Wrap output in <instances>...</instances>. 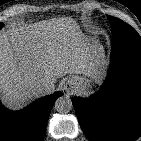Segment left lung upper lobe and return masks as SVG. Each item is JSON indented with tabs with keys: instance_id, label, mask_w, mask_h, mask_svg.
<instances>
[{
	"instance_id": "obj_1",
	"label": "left lung upper lobe",
	"mask_w": 141,
	"mask_h": 141,
	"mask_svg": "<svg viewBox=\"0 0 141 141\" xmlns=\"http://www.w3.org/2000/svg\"><path fill=\"white\" fill-rule=\"evenodd\" d=\"M108 19L111 23L112 34L115 39L119 40L134 39L141 41V37L130 25L112 16H108Z\"/></svg>"
}]
</instances>
